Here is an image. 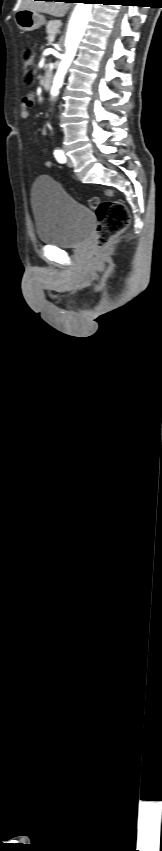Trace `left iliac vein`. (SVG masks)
<instances>
[{
	"label": "left iliac vein",
	"instance_id": "obj_1",
	"mask_svg": "<svg viewBox=\"0 0 162 851\" xmlns=\"http://www.w3.org/2000/svg\"><path fill=\"white\" fill-rule=\"evenodd\" d=\"M66 163H67L68 167H73V162H72L71 158L67 157Z\"/></svg>",
	"mask_w": 162,
	"mask_h": 851
}]
</instances>
